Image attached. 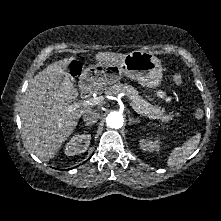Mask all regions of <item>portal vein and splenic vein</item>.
<instances>
[{
	"label": "portal vein and splenic vein",
	"mask_w": 221,
	"mask_h": 221,
	"mask_svg": "<svg viewBox=\"0 0 221 221\" xmlns=\"http://www.w3.org/2000/svg\"><path fill=\"white\" fill-rule=\"evenodd\" d=\"M104 98L102 96L91 98L88 100H84L80 103H74L67 108V111L72 112L80 106H93L103 103ZM130 106L136 111L139 115L145 116L132 102H130Z\"/></svg>",
	"instance_id": "portal-vein-and-splenic-vein-1"
}]
</instances>
